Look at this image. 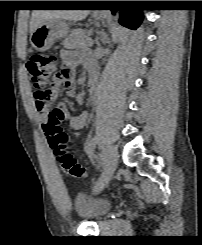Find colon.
<instances>
[{
  "mask_svg": "<svg viewBox=\"0 0 202 245\" xmlns=\"http://www.w3.org/2000/svg\"><path fill=\"white\" fill-rule=\"evenodd\" d=\"M32 84L38 89L37 104L48 112L44 125L46 135L50 138L55 159L61 170L69 177L82 179L87 176L86 169L80 165L69 148V137L61 127V116L52 109L59 95L60 84L69 76L67 69L59 68V61L54 56L36 54L28 63Z\"/></svg>",
  "mask_w": 202,
  "mask_h": 245,
  "instance_id": "colon-1",
  "label": "colon"
}]
</instances>
